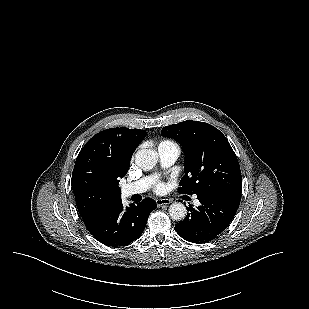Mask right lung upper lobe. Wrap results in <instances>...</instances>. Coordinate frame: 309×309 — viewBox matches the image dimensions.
<instances>
[{
    "label": "right lung upper lobe",
    "instance_id": "cb5924a9",
    "mask_svg": "<svg viewBox=\"0 0 309 309\" xmlns=\"http://www.w3.org/2000/svg\"><path fill=\"white\" fill-rule=\"evenodd\" d=\"M145 136V130L111 128L93 136L82 148L71 184L85 224L121 200L119 179L127 174L131 156Z\"/></svg>",
    "mask_w": 309,
    "mask_h": 309
}]
</instances>
